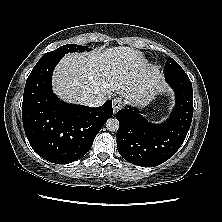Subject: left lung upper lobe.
<instances>
[{
    "mask_svg": "<svg viewBox=\"0 0 222 222\" xmlns=\"http://www.w3.org/2000/svg\"><path fill=\"white\" fill-rule=\"evenodd\" d=\"M165 73L170 74H183L185 73L184 70L180 67V65L172 58L167 59L165 67Z\"/></svg>",
    "mask_w": 222,
    "mask_h": 222,
    "instance_id": "1",
    "label": "left lung upper lobe"
}]
</instances>
